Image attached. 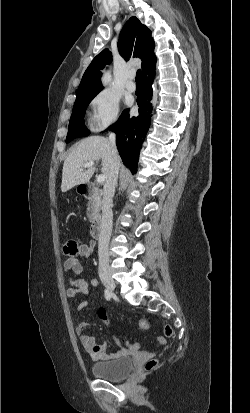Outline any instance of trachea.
I'll return each instance as SVG.
<instances>
[{
  "instance_id": "obj_1",
  "label": "trachea",
  "mask_w": 250,
  "mask_h": 413,
  "mask_svg": "<svg viewBox=\"0 0 250 413\" xmlns=\"http://www.w3.org/2000/svg\"><path fill=\"white\" fill-rule=\"evenodd\" d=\"M136 83H142V76H141V70L138 69L136 73Z\"/></svg>"
}]
</instances>
